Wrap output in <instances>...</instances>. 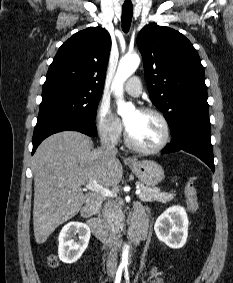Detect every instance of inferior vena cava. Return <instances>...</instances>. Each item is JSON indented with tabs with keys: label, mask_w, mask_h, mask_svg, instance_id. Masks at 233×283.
<instances>
[{
	"label": "inferior vena cava",
	"mask_w": 233,
	"mask_h": 283,
	"mask_svg": "<svg viewBox=\"0 0 233 283\" xmlns=\"http://www.w3.org/2000/svg\"><path fill=\"white\" fill-rule=\"evenodd\" d=\"M101 145L104 150H106L107 152L113 155H116L118 152L117 148L115 147V144H109L107 139H102ZM116 267H117V252L115 245H113L112 248L110 249V252L108 253L107 269L114 270Z\"/></svg>",
	"instance_id": "1"
}]
</instances>
